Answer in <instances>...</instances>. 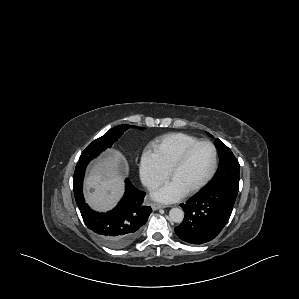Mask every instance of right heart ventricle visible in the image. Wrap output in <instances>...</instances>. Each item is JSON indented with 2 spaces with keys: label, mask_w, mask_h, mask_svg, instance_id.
Returning a JSON list of instances; mask_svg holds the SVG:
<instances>
[{
  "label": "right heart ventricle",
  "mask_w": 299,
  "mask_h": 299,
  "mask_svg": "<svg viewBox=\"0 0 299 299\" xmlns=\"http://www.w3.org/2000/svg\"><path fill=\"white\" fill-rule=\"evenodd\" d=\"M198 141V138L185 133H170L155 139L151 147L161 165L169 172L184 150Z\"/></svg>",
  "instance_id": "1"
}]
</instances>
